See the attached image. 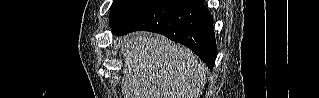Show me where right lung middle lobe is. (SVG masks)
<instances>
[{"label": "right lung middle lobe", "instance_id": "dd1d6c3e", "mask_svg": "<svg viewBox=\"0 0 319 98\" xmlns=\"http://www.w3.org/2000/svg\"><path fill=\"white\" fill-rule=\"evenodd\" d=\"M149 0H115L111 6L110 26H114Z\"/></svg>", "mask_w": 319, "mask_h": 98}]
</instances>
